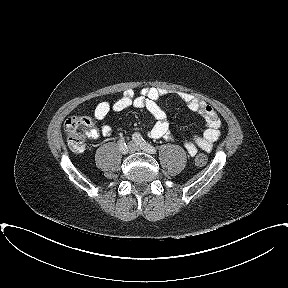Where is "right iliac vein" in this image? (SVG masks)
<instances>
[{
  "mask_svg": "<svg viewBox=\"0 0 288 288\" xmlns=\"http://www.w3.org/2000/svg\"><path fill=\"white\" fill-rule=\"evenodd\" d=\"M126 148L129 150V153L134 152V146L131 143Z\"/></svg>",
  "mask_w": 288,
  "mask_h": 288,
  "instance_id": "obj_1",
  "label": "right iliac vein"
}]
</instances>
